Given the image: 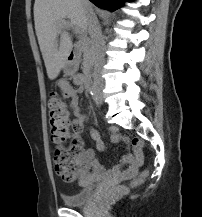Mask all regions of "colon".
Returning a JSON list of instances; mask_svg holds the SVG:
<instances>
[{
    "label": "colon",
    "instance_id": "obj_1",
    "mask_svg": "<svg viewBox=\"0 0 202 217\" xmlns=\"http://www.w3.org/2000/svg\"><path fill=\"white\" fill-rule=\"evenodd\" d=\"M48 122L51 140L54 144L55 171L66 181H73L81 172L80 155L82 154L83 143L80 139L72 137L70 143L65 144L64 140L68 134V119L65 103L56 94H53L48 102ZM134 147H142L143 142L135 138L132 142ZM148 171H143L132 184L138 185L148 178ZM126 191V187H115L111 195H120Z\"/></svg>",
    "mask_w": 202,
    "mask_h": 217
}]
</instances>
